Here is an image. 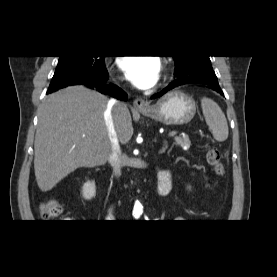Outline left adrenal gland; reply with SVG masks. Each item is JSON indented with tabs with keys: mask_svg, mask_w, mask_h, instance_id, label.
Listing matches in <instances>:
<instances>
[{
	"mask_svg": "<svg viewBox=\"0 0 277 277\" xmlns=\"http://www.w3.org/2000/svg\"><path fill=\"white\" fill-rule=\"evenodd\" d=\"M165 149H166V145H164V147L160 150L159 153H160V154L163 153V152L165 151Z\"/></svg>",
	"mask_w": 277,
	"mask_h": 277,
	"instance_id": "obj_1",
	"label": "left adrenal gland"
}]
</instances>
